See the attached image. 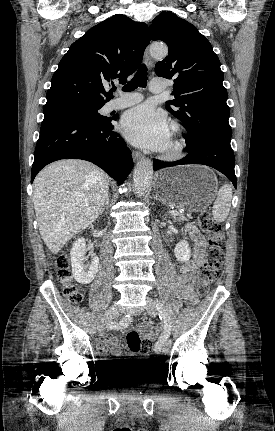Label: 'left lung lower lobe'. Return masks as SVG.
<instances>
[{
    "label": "left lung lower lobe",
    "mask_w": 275,
    "mask_h": 431,
    "mask_svg": "<svg viewBox=\"0 0 275 431\" xmlns=\"http://www.w3.org/2000/svg\"><path fill=\"white\" fill-rule=\"evenodd\" d=\"M230 140L229 138L205 137L186 141V148L189 150V154L185 158L171 163L154 160V170L183 164H203L213 167L226 175L236 188L235 158Z\"/></svg>",
    "instance_id": "1"
}]
</instances>
